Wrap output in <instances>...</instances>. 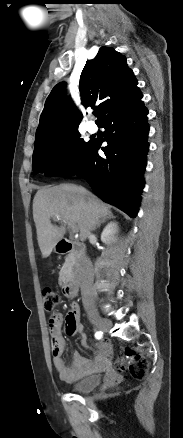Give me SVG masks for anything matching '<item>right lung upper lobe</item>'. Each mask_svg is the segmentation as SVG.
<instances>
[{"instance_id": "cb5924a9", "label": "right lung upper lobe", "mask_w": 183, "mask_h": 438, "mask_svg": "<svg viewBox=\"0 0 183 438\" xmlns=\"http://www.w3.org/2000/svg\"><path fill=\"white\" fill-rule=\"evenodd\" d=\"M64 89L65 83L62 82L49 94L36 130V139L78 129L82 115L73 101L64 95ZM79 90L84 106L94 107L98 104V122L141 93L126 58L108 47H101L97 56L86 62L80 76Z\"/></svg>"}]
</instances>
